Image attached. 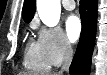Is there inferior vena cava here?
I'll return each mask as SVG.
<instances>
[{
  "label": "inferior vena cava",
  "mask_w": 107,
  "mask_h": 75,
  "mask_svg": "<svg viewBox=\"0 0 107 75\" xmlns=\"http://www.w3.org/2000/svg\"><path fill=\"white\" fill-rule=\"evenodd\" d=\"M73 50L69 42H65L64 44V62L61 70L58 72V75H62L63 72H68L69 67L72 61Z\"/></svg>",
  "instance_id": "inferior-vena-cava-1"
}]
</instances>
